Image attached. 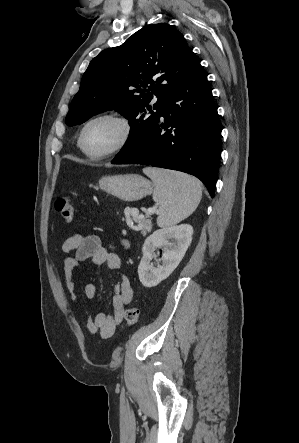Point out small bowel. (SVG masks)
Here are the masks:
<instances>
[{"label": "small bowel", "instance_id": "obj_1", "mask_svg": "<svg viewBox=\"0 0 299 443\" xmlns=\"http://www.w3.org/2000/svg\"><path fill=\"white\" fill-rule=\"evenodd\" d=\"M61 250L66 253L74 251L73 256L64 260L65 288L73 303L77 302L73 273L81 263L90 260L95 265H106L109 270L114 272L121 268L120 256L105 247L96 235L83 236L74 233L63 242ZM85 296L89 300L95 298L96 286L93 283L86 285ZM132 299L133 288L130 281L125 275L120 274V281L115 287L112 298L111 313L100 312L94 317L88 316L86 319L87 330L91 334H99L102 340L112 338L117 326L123 320L125 307L131 303Z\"/></svg>", "mask_w": 299, "mask_h": 443}]
</instances>
